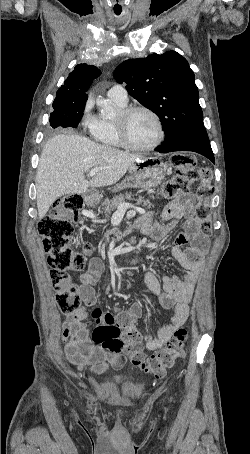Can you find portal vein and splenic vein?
<instances>
[{
    "mask_svg": "<svg viewBox=\"0 0 250 454\" xmlns=\"http://www.w3.org/2000/svg\"><path fill=\"white\" fill-rule=\"evenodd\" d=\"M98 171H99V169H92V170L89 171L88 176H89V177H94V176L97 174ZM129 207H130V204H129V203H125V202L120 203V204L117 206V211H116V213H117L118 215H120V216H123V215L125 214L126 210H127Z\"/></svg>",
    "mask_w": 250,
    "mask_h": 454,
    "instance_id": "1",
    "label": "portal vein and splenic vein"
}]
</instances>
